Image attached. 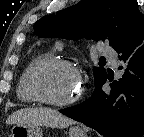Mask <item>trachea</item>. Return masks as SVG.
Here are the masks:
<instances>
[{
    "label": "trachea",
    "instance_id": "1",
    "mask_svg": "<svg viewBox=\"0 0 144 137\" xmlns=\"http://www.w3.org/2000/svg\"><path fill=\"white\" fill-rule=\"evenodd\" d=\"M101 61H105V58H102Z\"/></svg>",
    "mask_w": 144,
    "mask_h": 137
}]
</instances>
